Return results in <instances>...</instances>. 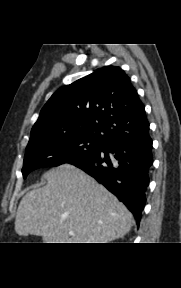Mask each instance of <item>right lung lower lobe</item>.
I'll return each mask as SVG.
<instances>
[{
	"label": "right lung lower lobe",
	"instance_id": "right-lung-lower-lobe-1",
	"mask_svg": "<svg viewBox=\"0 0 181 288\" xmlns=\"http://www.w3.org/2000/svg\"><path fill=\"white\" fill-rule=\"evenodd\" d=\"M153 163L150 136L104 143L101 151L71 164L103 184L132 212L139 225Z\"/></svg>",
	"mask_w": 181,
	"mask_h": 288
}]
</instances>
